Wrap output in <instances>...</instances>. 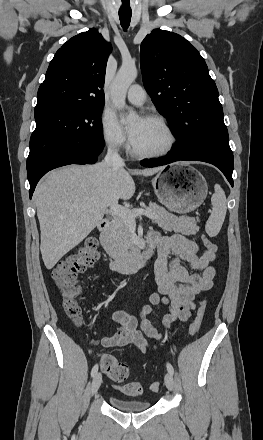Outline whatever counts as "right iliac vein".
Wrapping results in <instances>:
<instances>
[{"label": "right iliac vein", "instance_id": "1", "mask_svg": "<svg viewBox=\"0 0 263 440\" xmlns=\"http://www.w3.org/2000/svg\"><path fill=\"white\" fill-rule=\"evenodd\" d=\"M101 383H102V375H101V373H96L93 378L92 384H91V394L92 395L97 393V391L99 390V388L101 386Z\"/></svg>", "mask_w": 263, "mask_h": 440}]
</instances>
